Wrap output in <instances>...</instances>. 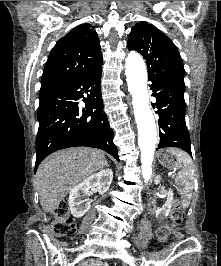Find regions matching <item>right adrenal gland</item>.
<instances>
[{"instance_id": "1", "label": "right adrenal gland", "mask_w": 221, "mask_h": 266, "mask_svg": "<svg viewBox=\"0 0 221 266\" xmlns=\"http://www.w3.org/2000/svg\"><path fill=\"white\" fill-rule=\"evenodd\" d=\"M105 166H106V167H109V164L106 162Z\"/></svg>"}]
</instances>
